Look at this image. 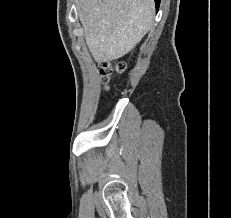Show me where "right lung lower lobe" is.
Listing matches in <instances>:
<instances>
[{"instance_id":"98d812e1","label":"right lung lower lobe","mask_w":231,"mask_h":218,"mask_svg":"<svg viewBox=\"0 0 231 218\" xmlns=\"http://www.w3.org/2000/svg\"><path fill=\"white\" fill-rule=\"evenodd\" d=\"M155 3H156V10L158 11V8H159V4H160V0H154Z\"/></svg>"}]
</instances>
